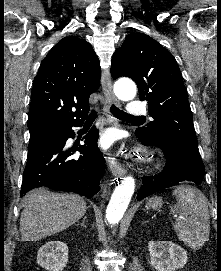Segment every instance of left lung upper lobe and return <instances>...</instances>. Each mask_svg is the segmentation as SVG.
I'll list each match as a JSON object with an SVG mask.
<instances>
[{
	"mask_svg": "<svg viewBox=\"0 0 221 271\" xmlns=\"http://www.w3.org/2000/svg\"><path fill=\"white\" fill-rule=\"evenodd\" d=\"M111 75L133 79L140 100H148L153 117L139 127L147 137L169 134L198 149L187 90L175 58L162 45L144 33H131L112 57Z\"/></svg>",
	"mask_w": 221,
	"mask_h": 271,
	"instance_id": "5c2ea615",
	"label": "left lung upper lobe"
}]
</instances>
